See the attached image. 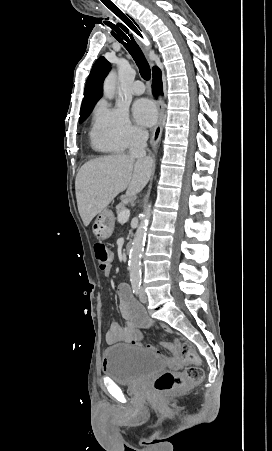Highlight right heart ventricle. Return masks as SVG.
I'll return each mask as SVG.
<instances>
[{"instance_id":"right-heart-ventricle-1","label":"right heart ventricle","mask_w":272,"mask_h":451,"mask_svg":"<svg viewBox=\"0 0 272 451\" xmlns=\"http://www.w3.org/2000/svg\"><path fill=\"white\" fill-rule=\"evenodd\" d=\"M92 143H93V145H94L96 148H98V149H100V150H102V151H113V150H115V148H116L115 146H113V145H111V144H108V143L99 141V140L95 137V135H92Z\"/></svg>"}]
</instances>
